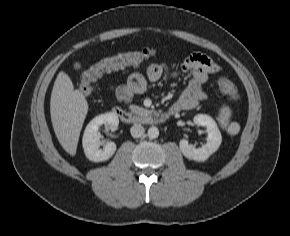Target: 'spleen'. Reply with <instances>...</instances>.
<instances>
[{"instance_id":"spleen-1","label":"spleen","mask_w":290,"mask_h":236,"mask_svg":"<svg viewBox=\"0 0 290 236\" xmlns=\"http://www.w3.org/2000/svg\"><path fill=\"white\" fill-rule=\"evenodd\" d=\"M230 115H231V111L228 107H223L221 109L220 116L218 118L221 125H223V126L227 125V122H228Z\"/></svg>"}]
</instances>
